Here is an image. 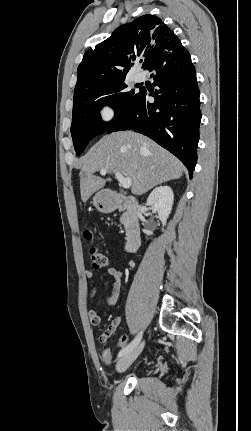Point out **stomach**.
I'll list each match as a JSON object with an SVG mask.
<instances>
[{
	"label": "stomach",
	"mask_w": 251,
	"mask_h": 431,
	"mask_svg": "<svg viewBox=\"0 0 251 431\" xmlns=\"http://www.w3.org/2000/svg\"><path fill=\"white\" fill-rule=\"evenodd\" d=\"M93 205L99 212L110 213L116 208V201L108 191L102 190L93 197Z\"/></svg>",
	"instance_id": "obj_1"
}]
</instances>
